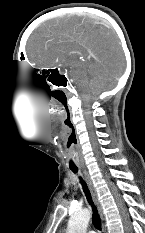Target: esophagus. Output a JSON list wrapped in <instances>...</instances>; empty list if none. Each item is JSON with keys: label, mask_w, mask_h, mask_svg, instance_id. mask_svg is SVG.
<instances>
[{"label": "esophagus", "mask_w": 145, "mask_h": 233, "mask_svg": "<svg viewBox=\"0 0 145 233\" xmlns=\"http://www.w3.org/2000/svg\"><path fill=\"white\" fill-rule=\"evenodd\" d=\"M84 175H85V179L87 181V184L89 186V189H90V192H91V195H92V198H93V201L97 207V209L99 210V212L101 213L102 211V207H101V204H100V201H99V198H98V194H97V191L93 185V182L89 176V174L84 170ZM104 233H107L106 232V229L104 228Z\"/></svg>", "instance_id": "1"}]
</instances>
